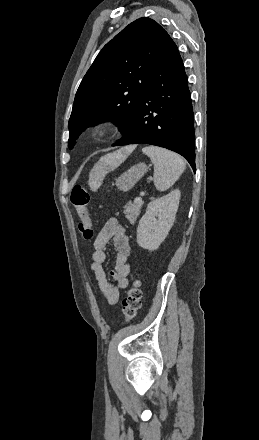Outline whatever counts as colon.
<instances>
[{
	"instance_id": "5ec220e1",
	"label": "colon",
	"mask_w": 259,
	"mask_h": 440,
	"mask_svg": "<svg viewBox=\"0 0 259 440\" xmlns=\"http://www.w3.org/2000/svg\"><path fill=\"white\" fill-rule=\"evenodd\" d=\"M70 201L79 216L80 222L78 228L82 236L86 240L92 239L94 231L88 213V204L90 201L88 191L82 185H75L70 192ZM141 298V283L139 279H135L122 302L125 322L136 317L137 312L141 307Z\"/></svg>"
}]
</instances>
